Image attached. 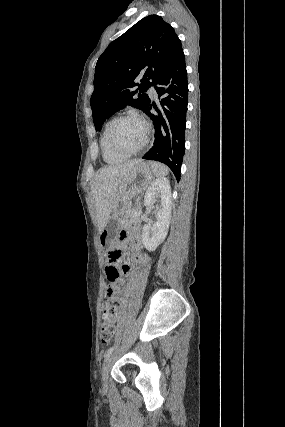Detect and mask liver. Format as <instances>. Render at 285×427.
<instances>
[{
  "label": "liver",
  "instance_id": "1",
  "mask_svg": "<svg viewBox=\"0 0 285 427\" xmlns=\"http://www.w3.org/2000/svg\"><path fill=\"white\" fill-rule=\"evenodd\" d=\"M141 160H131L124 164L102 168L92 186L91 195L97 214L99 233L105 227L121 186L126 181L131 169Z\"/></svg>",
  "mask_w": 285,
  "mask_h": 427
}]
</instances>
